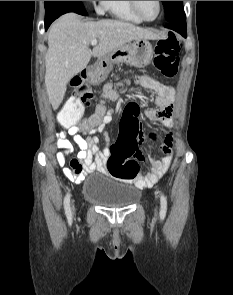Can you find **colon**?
<instances>
[{"mask_svg":"<svg viewBox=\"0 0 233 295\" xmlns=\"http://www.w3.org/2000/svg\"><path fill=\"white\" fill-rule=\"evenodd\" d=\"M182 49L180 40L174 33L160 39L155 47V68L165 77H174L178 72L179 54ZM139 83L146 89L164 98L174 96V89L150 78H141ZM74 96L70 98L59 113L63 125L76 123L84 114L85 107L93 98L91 87L83 79L76 77L72 81ZM109 97L115 92L107 87L105 91ZM104 108L98 106L96 112L84 119L82 126L86 130L97 127L102 119ZM153 137V136H152ZM143 143V133L138 119L125 110L120 121V133L117 141L111 146V155L107 163L108 172L115 178L132 180L139 173V163L144 157L139 147Z\"/></svg>","mask_w":233,"mask_h":295,"instance_id":"colon-1","label":"colon"}]
</instances>
